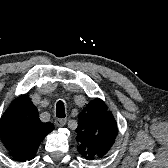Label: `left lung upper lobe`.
Masks as SVG:
<instances>
[{
    "instance_id": "obj_1",
    "label": "left lung upper lobe",
    "mask_w": 168,
    "mask_h": 168,
    "mask_svg": "<svg viewBox=\"0 0 168 168\" xmlns=\"http://www.w3.org/2000/svg\"><path fill=\"white\" fill-rule=\"evenodd\" d=\"M76 132L77 149L87 160L105 155L118 134L115 118L101 99L91 101L79 115Z\"/></svg>"
}]
</instances>
